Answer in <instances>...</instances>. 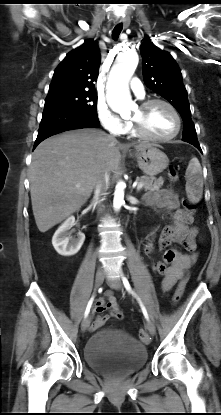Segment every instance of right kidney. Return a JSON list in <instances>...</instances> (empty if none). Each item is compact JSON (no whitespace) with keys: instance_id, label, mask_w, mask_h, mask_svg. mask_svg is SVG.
<instances>
[{"instance_id":"right-kidney-1","label":"right kidney","mask_w":221,"mask_h":415,"mask_svg":"<svg viewBox=\"0 0 221 415\" xmlns=\"http://www.w3.org/2000/svg\"><path fill=\"white\" fill-rule=\"evenodd\" d=\"M74 224L75 218L73 216L67 218V220L61 224L53 235V247L60 255L72 256L76 254L85 241V235L81 232L78 233L77 238H70L69 230L74 226Z\"/></svg>"}]
</instances>
